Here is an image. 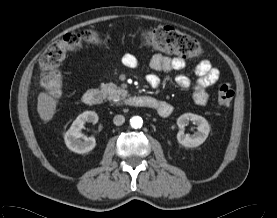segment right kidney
Listing matches in <instances>:
<instances>
[{
	"label": "right kidney",
	"instance_id": "1",
	"mask_svg": "<svg viewBox=\"0 0 277 218\" xmlns=\"http://www.w3.org/2000/svg\"><path fill=\"white\" fill-rule=\"evenodd\" d=\"M98 115L94 111H85L80 114L72 123L69 130L64 135L66 146L73 152L78 154H85L92 151L96 146L94 137H85L82 134L84 124L91 122L96 124L98 122ZM83 138L84 140H81Z\"/></svg>",
	"mask_w": 277,
	"mask_h": 218
}]
</instances>
